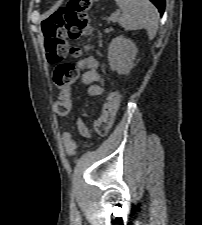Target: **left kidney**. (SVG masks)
<instances>
[{
    "mask_svg": "<svg viewBox=\"0 0 202 225\" xmlns=\"http://www.w3.org/2000/svg\"><path fill=\"white\" fill-rule=\"evenodd\" d=\"M138 49L130 39L123 36L114 38L108 48V61L112 71L127 74L133 68Z\"/></svg>",
    "mask_w": 202,
    "mask_h": 225,
    "instance_id": "5707ae66",
    "label": "left kidney"
}]
</instances>
